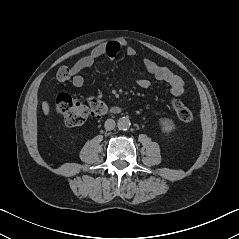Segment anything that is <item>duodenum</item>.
<instances>
[{
  "instance_id": "duodenum-1",
  "label": "duodenum",
  "mask_w": 239,
  "mask_h": 239,
  "mask_svg": "<svg viewBox=\"0 0 239 239\" xmlns=\"http://www.w3.org/2000/svg\"><path fill=\"white\" fill-rule=\"evenodd\" d=\"M109 111H110L111 113L116 114V113H119V112H120V108H118V107H111V108L109 109Z\"/></svg>"
}]
</instances>
